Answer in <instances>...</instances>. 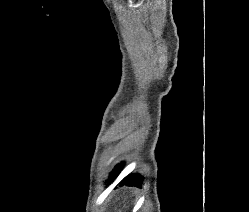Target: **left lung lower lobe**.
Returning <instances> with one entry per match:
<instances>
[{"mask_svg":"<svg viewBox=\"0 0 249 212\" xmlns=\"http://www.w3.org/2000/svg\"><path fill=\"white\" fill-rule=\"evenodd\" d=\"M121 168H122L121 164L115 167V169L110 175L111 181L118 175V173L120 172L119 170ZM141 182H142L141 177H139L138 174H133V175H129L126 178H124L121 183L127 184L128 186H139L141 185Z\"/></svg>","mask_w":249,"mask_h":212,"instance_id":"1","label":"left lung lower lobe"}]
</instances>
